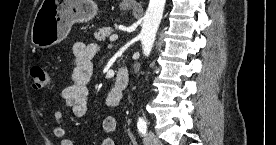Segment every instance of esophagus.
<instances>
[{"label": "esophagus", "mask_w": 276, "mask_h": 145, "mask_svg": "<svg viewBox=\"0 0 276 145\" xmlns=\"http://www.w3.org/2000/svg\"><path fill=\"white\" fill-rule=\"evenodd\" d=\"M124 2L131 5H138V2L136 0H125Z\"/></svg>", "instance_id": "1"}]
</instances>
